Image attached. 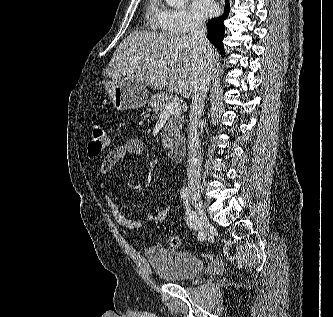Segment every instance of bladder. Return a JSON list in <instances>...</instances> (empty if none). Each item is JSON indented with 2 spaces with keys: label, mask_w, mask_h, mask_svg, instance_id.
<instances>
[{
  "label": "bladder",
  "mask_w": 333,
  "mask_h": 317,
  "mask_svg": "<svg viewBox=\"0 0 333 317\" xmlns=\"http://www.w3.org/2000/svg\"><path fill=\"white\" fill-rule=\"evenodd\" d=\"M145 255L154 273L168 282L192 280L203 268V262L198 256L161 245L149 247Z\"/></svg>",
  "instance_id": "bladder-1"
}]
</instances>
